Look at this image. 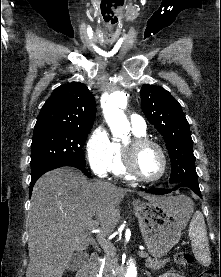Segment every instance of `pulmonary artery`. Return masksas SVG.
<instances>
[{
    "label": "pulmonary artery",
    "instance_id": "e3ab8cb5",
    "mask_svg": "<svg viewBox=\"0 0 221 277\" xmlns=\"http://www.w3.org/2000/svg\"><path fill=\"white\" fill-rule=\"evenodd\" d=\"M130 123L133 130L141 133H144L146 131L145 120L140 115L132 114L130 116Z\"/></svg>",
    "mask_w": 221,
    "mask_h": 277
}]
</instances>
